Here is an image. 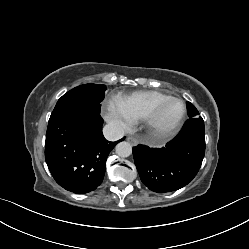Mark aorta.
<instances>
[{
    "instance_id": "762f6f07",
    "label": "aorta",
    "mask_w": 249,
    "mask_h": 249,
    "mask_svg": "<svg viewBox=\"0 0 249 249\" xmlns=\"http://www.w3.org/2000/svg\"><path fill=\"white\" fill-rule=\"evenodd\" d=\"M116 154L120 157H128L132 154V146L130 143L123 141L116 145Z\"/></svg>"
}]
</instances>
